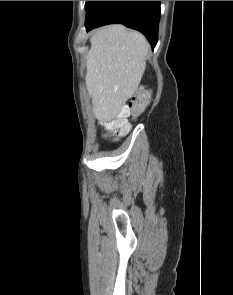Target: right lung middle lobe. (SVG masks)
<instances>
[{"label": "right lung middle lobe", "mask_w": 233, "mask_h": 295, "mask_svg": "<svg viewBox=\"0 0 233 295\" xmlns=\"http://www.w3.org/2000/svg\"><path fill=\"white\" fill-rule=\"evenodd\" d=\"M91 1H86V8H87V6H88V4L90 3Z\"/></svg>", "instance_id": "right-lung-middle-lobe-1"}]
</instances>
